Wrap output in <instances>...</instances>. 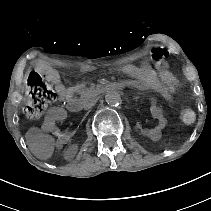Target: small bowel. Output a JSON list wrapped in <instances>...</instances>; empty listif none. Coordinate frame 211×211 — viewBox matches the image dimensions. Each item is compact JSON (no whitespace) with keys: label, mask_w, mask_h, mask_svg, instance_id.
I'll list each match as a JSON object with an SVG mask.
<instances>
[{"label":"small bowel","mask_w":211,"mask_h":211,"mask_svg":"<svg viewBox=\"0 0 211 211\" xmlns=\"http://www.w3.org/2000/svg\"><path fill=\"white\" fill-rule=\"evenodd\" d=\"M125 71L132 73L138 83L139 89H154L157 90L165 99L172 100L173 91L172 89L164 82H162L158 76L150 71H140L134 67H126ZM40 71L43 72L47 78L55 84L56 90L58 92L59 101L64 102L69 100L73 94L80 88V85L73 87L66 86L60 79V76L57 72L50 70L44 66L40 67ZM150 111L154 119V123L146 128H144L145 134L151 138H158L161 131L166 126V118L162 109L157 105L156 99L152 98L150 100ZM58 114L55 111L50 112L42 126V130L46 133L52 134L56 138V143L58 146L64 145L68 139L69 135L62 132L58 126Z\"/></svg>","instance_id":"1"}]
</instances>
